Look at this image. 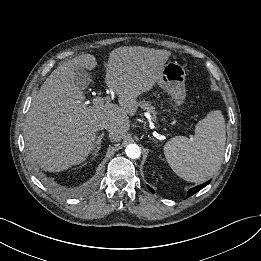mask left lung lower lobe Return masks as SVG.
<instances>
[{
    "mask_svg": "<svg viewBox=\"0 0 261 261\" xmlns=\"http://www.w3.org/2000/svg\"><path fill=\"white\" fill-rule=\"evenodd\" d=\"M210 181L204 183V184H201L199 186H196L194 188H191L189 191H188V197L192 196L193 194H195L196 192L200 191L202 188H204L205 186H207L209 184ZM148 189L153 193V189L148 187Z\"/></svg>",
    "mask_w": 261,
    "mask_h": 261,
    "instance_id": "1",
    "label": "left lung lower lobe"
}]
</instances>
